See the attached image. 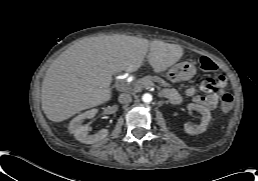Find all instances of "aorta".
Wrapping results in <instances>:
<instances>
[{
  "label": "aorta",
  "mask_w": 258,
  "mask_h": 181,
  "mask_svg": "<svg viewBox=\"0 0 258 181\" xmlns=\"http://www.w3.org/2000/svg\"><path fill=\"white\" fill-rule=\"evenodd\" d=\"M142 100L145 103H150L152 101V95L146 93L142 96Z\"/></svg>",
  "instance_id": "762f6f07"
}]
</instances>
